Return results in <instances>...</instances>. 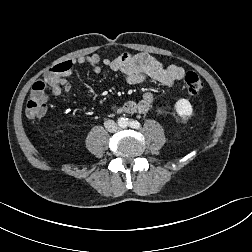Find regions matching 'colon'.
Listing matches in <instances>:
<instances>
[{"mask_svg":"<svg viewBox=\"0 0 252 252\" xmlns=\"http://www.w3.org/2000/svg\"><path fill=\"white\" fill-rule=\"evenodd\" d=\"M67 66L58 64L50 69L42 80L36 81L31 89L30 97L26 103V115L31 119L41 118L46 112V89L59 81ZM184 83L189 94L197 95L203 88L202 79L195 72H188L184 76Z\"/></svg>","mask_w":252,"mask_h":252,"instance_id":"colon-1","label":"colon"}]
</instances>
